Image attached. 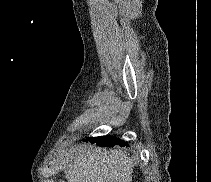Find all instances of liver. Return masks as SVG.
Instances as JSON below:
<instances>
[{
	"instance_id": "obj_1",
	"label": "liver",
	"mask_w": 211,
	"mask_h": 182,
	"mask_svg": "<svg viewBox=\"0 0 211 182\" xmlns=\"http://www.w3.org/2000/svg\"><path fill=\"white\" fill-rule=\"evenodd\" d=\"M133 162L122 150L79 148L66 165L68 182H131Z\"/></svg>"
}]
</instances>
